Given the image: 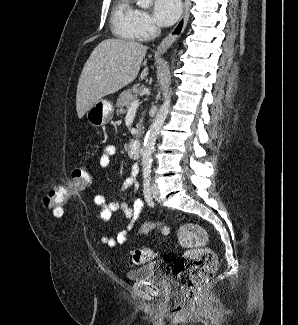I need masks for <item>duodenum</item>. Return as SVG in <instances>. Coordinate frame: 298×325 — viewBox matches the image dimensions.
I'll list each match as a JSON object with an SVG mask.
<instances>
[{"label":"duodenum","mask_w":298,"mask_h":325,"mask_svg":"<svg viewBox=\"0 0 298 325\" xmlns=\"http://www.w3.org/2000/svg\"><path fill=\"white\" fill-rule=\"evenodd\" d=\"M142 151V143L140 140H132L128 145L129 155L135 159L139 158Z\"/></svg>","instance_id":"410a0bca"}]
</instances>
